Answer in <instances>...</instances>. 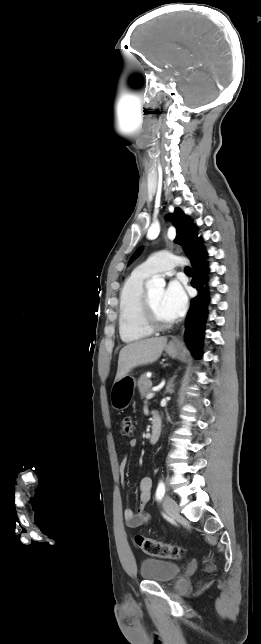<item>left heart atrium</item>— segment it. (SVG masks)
I'll return each mask as SVG.
<instances>
[{
    "instance_id": "1",
    "label": "left heart atrium",
    "mask_w": 261,
    "mask_h": 644,
    "mask_svg": "<svg viewBox=\"0 0 261 644\" xmlns=\"http://www.w3.org/2000/svg\"><path fill=\"white\" fill-rule=\"evenodd\" d=\"M163 306L172 320L183 315L187 307V296L181 283L172 280L163 292Z\"/></svg>"
}]
</instances>
